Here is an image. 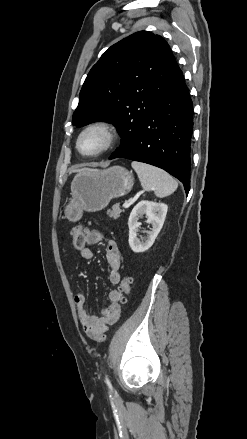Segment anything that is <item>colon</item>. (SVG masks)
Masks as SVG:
<instances>
[{"mask_svg":"<svg viewBox=\"0 0 247 439\" xmlns=\"http://www.w3.org/2000/svg\"><path fill=\"white\" fill-rule=\"evenodd\" d=\"M85 225H78L72 228L71 238L72 243L76 250L80 251L85 247V234L87 232ZM132 277L126 276L120 283V291L122 294L127 295L131 289Z\"/></svg>","mask_w":247,"mask_h":439,"instance_id":"colon-1","label":"colon"}]
</instances>
